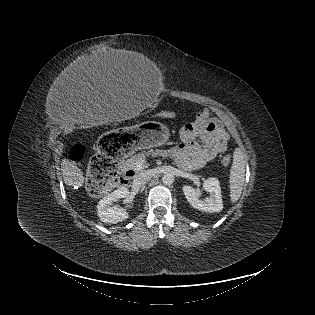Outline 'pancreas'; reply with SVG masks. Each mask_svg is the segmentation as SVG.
<instances>
[{
    "label": "pancreas",
    "mask_w": 315,
    "mask_h": 315,
    "mask_svg": "<svg viewBox=\"0 0 315 315\" xmlns=\"http://www.w3.org/2000/svg\"><path fill=\"white\" fill-rule=\"evenodd\" d=\"M169 155V151L167 150H159V149H156V150H150L148 152H145V153H138L134 156H132L130 159H127L125 161V167L126 169L128 170H134L135 172H139L145 168L148 167V165L146 164V158L149 157V156H152V157H157V156H160V157H167ZM142 161L143 162V165L141 167H138V163Z\"/></svg>",
    "instance_id": "pancreas-1"
}]
</instances>
